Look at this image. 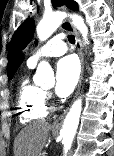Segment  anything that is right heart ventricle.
I'll use <instances>...</instances> for the list:
<instances>
[{"label": "right heart ventricle", "instance_id": "obj_1", "mask_svg": "<svg viewBox=\"0 0 114 156\" xmlns=\"http://www.w3.org/2000/svg\"><path fill=\"white\" fill-rule=\"evenodd\" d=\"M33 67L28 64L29 69ZM17 108L23 124L43 119L48 113L45 92L31 81L28 73H25L19 81Z\"/></svg>", "mask_w": 114, "mask_h": 156}]
</instances>
